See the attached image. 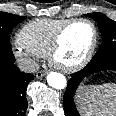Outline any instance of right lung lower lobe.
I'll list each match as a JSON object with an SVG mask.
<instances>
[{"label":"right lung lower lobe","mask_w":116,"mask_h":116,"mask_svg":"<svg viewBox=\"0 0 116 116\" xmlns=\"http://www.w3.org/2000/svg\"><path fill=\"white\" fill-rule=\"evenodd\" d=\"M15 58L0 66V116H25L27 110L26 88L34 79L14 64Z\"/></svg>","instance_id":"obj_1"}]
</instances>
